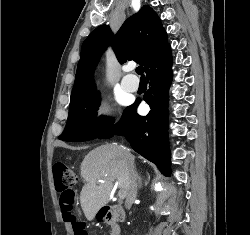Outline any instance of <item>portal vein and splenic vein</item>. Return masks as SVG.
<instances>
[{
	"label": "portal vein and splenic vein",
	"mask_w": 250,
	"mask_h": 235,
	"mask_svg": "<svg viewBox=\"0 0 250 235\" xmlns=\"http://www.w3.org/2000/svg\"><path fill=\"white\" fill-rule=\"evenodd\" d=\"M125 196H126V191L120 190V191H119V198H120V199H123Z\"/></svg>",
	"instance_id": "portal-vein-and-splenic-vein-1"
}]
</instances>
